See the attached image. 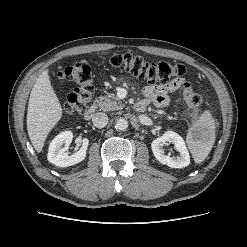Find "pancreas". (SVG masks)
Masks as SVG:
<instances>
[{"mask_svg":"<svg viewBox=\"0 0 247 247\" xmlns=\"http://www.w3.org/2000/svg\"><path fill=\"white\" fill-rule=\"evenodd\" d=\"M96 103L100 110L102 111H111L115 109H122L124 107V104L122 101L119 100V98L112 93H107L104 96H100Z\"/></svg>","mask_w":247,"mask_h":247,"instance_id":"pancreas-1","label":"pancreas"}]
</instances>
